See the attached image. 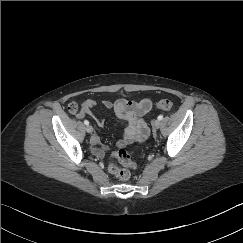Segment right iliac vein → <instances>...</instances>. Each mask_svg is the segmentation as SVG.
I'll return each mask as SVG.
<instances>
[{
  "instance_id": "63e3f726",
  "label": "right iliac vein",
  "mask_w": 243,
  "mask_h": 243,
  "mask_svg": "<svg viewBox=\"0 0 243 243\" xmlns=\"http://www.w3.org/2000/svg\"><path fill=\"white\" fill-rule=\"evenodd\" d=\"M86 131L91 134L93 132V127L91 125H87Z\"/></svg>"
}]
</instances>
